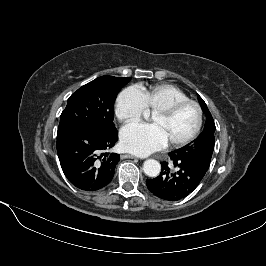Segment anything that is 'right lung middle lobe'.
<instances>
[{"label": "right lung middle lobe", "mask_w": 266, "mask_h": 266, "mask_svg": "<svg viewBox=\"0 0 266 266\" xmlns=\"http://www.w3.org/2000/svg\"><path fill=\"white\" fill-rule=\"evenodd\" d=\"M130 77L101 76L80 87L68 99L58 129L78 126L106 132L115 129L114 102Z\"/></svg>", "instance_id": "1"}]
</instances>
